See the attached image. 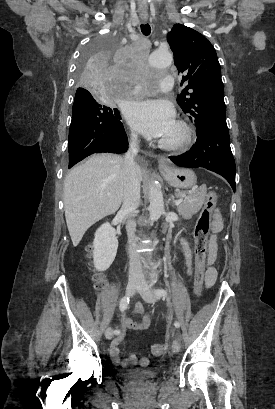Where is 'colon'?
<instances>
[{
  "label": "colon",
  "mask_w": 275,
  "mask_h": 409,
  "mask_svg": "<svg viewBox=\"0 0 275 409\" xmlns=\"http://www.w3.org/2000/svg\"><path fill=\"white\" fill-rule=\"evenodd\" d=\"M217 203V194L215 192H210L204 202L202 209L199 212L195 231V291L196 295L200 294L203 288L206 274V253H207V243L208 234L210 230L212 212ZM91 246L88 250H93ZM95 285L99 288L104 289L107 282L103 278H97ZM163 344L161 342H154L152 344V349L150 350L151 358H161L163 356Z\"/></svg>",
  "instance_id": "obj_1"
}]
</instances>
